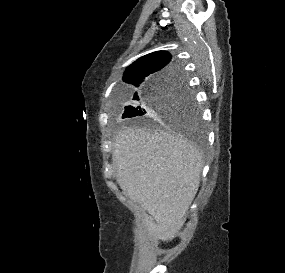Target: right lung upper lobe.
<instances>
[{"instance_id": "right-lung-upper-lobe-1", "label": "right lung upper lobe", "mask_w": 285, "mask_h": 273, "mask_svg": "<svg viewBox=\"0 0 285 273\" xmlns=\"http://www.w3.org/2000/svg\"><path fill=\"white\" fill-rule=\"evenodd\" d=\"M171 56L166 51H157L139 58L130 65L123 76V81L141 89L152 80L178 70ZM137 92L134 97H137Z\"/></svg>"}]
</instances>
